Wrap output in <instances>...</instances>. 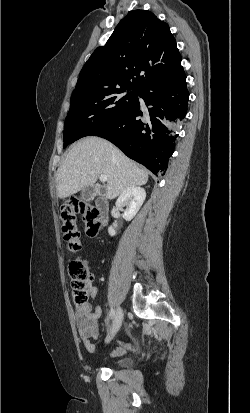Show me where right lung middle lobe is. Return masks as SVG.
<instances>
[{
	"label": "right lung middle lobe",
	"instance_id": "1",
	"mask_svg": "<svg viewBox=\"0 0 250 413\" xmlns=\"http://www.w3.org/2000/svg\"><path fill=\"white\" fill-rule=\"evenodd\" d=\"M137 92L138 89L122 87L72 94L65 120L63 148L88 136L126 110L136 100Z\"/></svg>",
	"mask_w": 250,
	"mask_h": 413
}]
</instances>
